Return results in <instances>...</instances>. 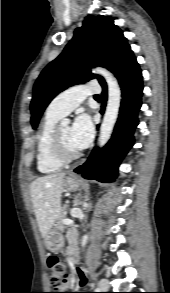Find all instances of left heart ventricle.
<instances>
[{"mask_svg": "<svg viewBox=\"0 0 170 293\" xmlns=\"http://www.w3.org/2000/svg\"><path fill=\"white\" fill-rule=\"evenodd\" d=\"M58 135L65 152L72 153L78 150L71 143L70 128L68 126H60L58 130Z\"/></svg>", "mask_w": 170, "mask_h": 293, "instance_id": "left-heart-ventricle-1", "label": "left heart ventricle"}]
</instances>
